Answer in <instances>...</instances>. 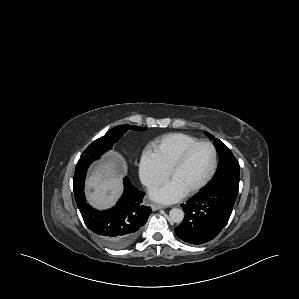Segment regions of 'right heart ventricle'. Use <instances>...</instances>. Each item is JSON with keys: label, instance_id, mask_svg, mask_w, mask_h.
I'll list each match as a JSON object with an SVG mask.
<instances>
[{"label": "right heart ventricle", "instance_id": "e07e8e85", "mask_svg": "<svg viewBox=\"0 0 299 299\" xmlns=\"http://www.w3.org/2000/svg\"><path fill=\"white\" fill-rule=\"evenodd\" d=\"M198 141L188 134L170 133L154 140L151 147L161 165L169 172L184 150Z\"/></svg>", "mask_w": 299, "mask_h": 299}]
</instances>
